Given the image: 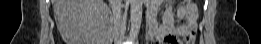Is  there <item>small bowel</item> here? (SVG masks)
<instances>
[{"label": "small bowel", "instance_id": "c3829d8e", "mask_svg": "<svg viewBox=\"0 0 261 44\" xmlns=\"http://www.w3.org/2000/svg\"><path fill=\"white\" fill-rule=\"evenodd\" d=\"M174 2H170L162 15V23L157 21V14L161 5L160 1H153L148 13L150 25L148 35L153 43L163 44H193L198 26V8L181 5L174 10ZM185 19L186 23L181 21Z\"/></svg>", "mask_w": 261, "mask_h": 44}]
</instances>
